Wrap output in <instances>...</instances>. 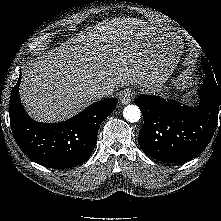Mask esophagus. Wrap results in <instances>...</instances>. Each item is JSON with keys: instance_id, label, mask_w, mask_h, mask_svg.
<instances>
[{"instance_id": "obj_1", "label": "esophagus", "mask_w": 221, "mask_h": 221, "mask_svg": "<svg viewBox=\"0 0 221 221\" xmlns=\"http://www.w3.org/2000/svg\"><path fill=\"white\" fill-rule=\"evenodd\" d=\"M133 92L131 90H125L120 94V102L122 104H128L131 102L132 98H133Z\"/></svg>"}]
</instances>
